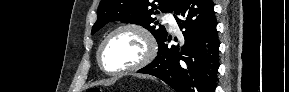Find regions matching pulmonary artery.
I'll return each mask as SVG.
<instances>
[{
	"label": "pulmonary artery",
	"mask_w": 289,
	"mask_h": 92,
	"mask_svg": "<svg viewBox=\"0 0 289 92\" xmlns=\"http://www.w3.org/2000/svg\"><path fill=\"white\" fill-rule=\"evenodd\" d=\"M163 19H164V21L166 23L169 24V26H170V28L172 30H177L178 29V25H177V22H176V20H175V18L173 16V14L167 13V14L164 15Z\"/></svg>",
	"instance_id": "pulmonary-artery-1"
}]
</instances>
